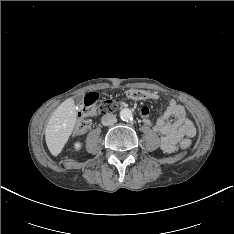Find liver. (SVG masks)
Returning <instances> with one entry per match:
<instances>
[{"instance_id":"obj_1","label":"liver","mask_w":234,"mask_h":234,"mask_svg":"<svg viewBox=\"0 0 234 234\" xmlns=\"http://www.w3.org/2000/svg\"><path fill=\"white\" fill-rule=\"evenodd\" d=\"M77 113L72 98L62 102L50 117L45 130L46 144L52 155H58L71 135Z\"/></svg>"}]
</instances>
